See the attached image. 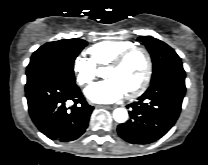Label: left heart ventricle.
<instances>
[{
  "mask_svg": "<svg viewBox=\"0 0 208 165\" xmlns=\"http://www.w3.org/2000/svg\"><path fill=\"white\" fill-rule=\"evenodd\" d=\"M145 71V56L141 52H136L129 56L120 67H107L105 76L117 80L125 92H129L140 84Z\"/></svg>",
  "mask_w": 208,
  "mask_h": 165,
  "instance_id": "left-heart-ventricle-1",
  "label": "left heart ventricle"
}]
</instances>
